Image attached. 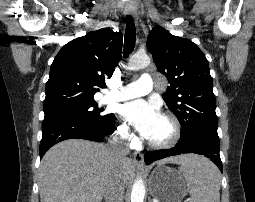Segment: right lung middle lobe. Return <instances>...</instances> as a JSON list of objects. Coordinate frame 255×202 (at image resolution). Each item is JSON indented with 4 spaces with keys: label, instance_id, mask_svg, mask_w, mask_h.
<instances>
[{
    "label": "right lung middle lobe",
    "instance_id": "right-lung-middle-lobe-1",
    "mask_svg": "<svg viewBox=\"0 0 255 202\" xmlns=\"http://www.w3.org/2000/svg\"><path fill=\"white\" fill-rule=\"evenodd\" d=\"M103 110L98 109L96 102L76 105L50 113H45L44 120L57 118H78L85 120L97 127L109 126L114 119V114H102Z\"/></svg>",
    "mask_w": 255,
    "mask_h": 202
}]
</instances>
